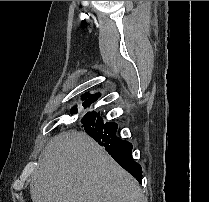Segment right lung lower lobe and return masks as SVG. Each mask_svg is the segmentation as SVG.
I'll return each instance as SVG.
<instances>
[{
    "mask_svg": "<svg viewBox=\"0 0 209 202\" xmlns=\"http://www.w3.org/2000/svg\"><path fill=\"white\" fill-rule=\"evenodd\" d=\"M89 96V93L82 96V100H85L83 103L85 107H89L91 103L96 101L100 97V93ZM87 97L89 98L87 99ZM80 125L88 135L105 147L106 151L121 167L132 174L139 183L142 182L141 166L132 158L133 146L116 135L118 129L116 123L107 122L104 124L100 114L93 111L84 115Z\"/></svg>",
    "mask_w": 209,
    "mask_h": 202,
    "instance_id": "obj_1",
    "label": "right lung lower lobe"
}]
</instances>
